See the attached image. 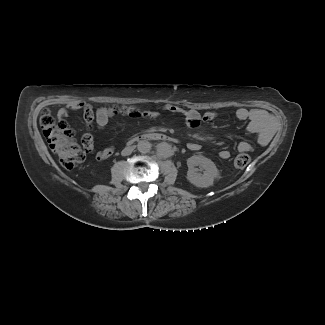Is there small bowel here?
<instances>
[{"instance_id": "obj_1", "label": "small bowel", "mask_w": 325, "mask_h": 325, "mask_svg": "<svg viewBox=\"0 0 325 325\" xmlns=\"http://www.w3.org/2000/svg\"><path fill=\"white\" fill-rule=\"evenodd\" d=\"M164 109L174 114H181L184 116L183 125L189 129H196L203 124L210 123L218 118V114L214 111H209L201 114L194 109H185L175 104H166ZM83 110L84 119L87 127V132L82 137V144L84 148L94 153L97 160H105L111 157L115 151L113 146H107L103 149L96 151L94 146V139L91 134V129L95 123L98 129H104L108 124L109 119L112 117L113 112L107 110L105 107L99 108L95 114L90 104L85 102H75L61 108L56 114V124L58 128L67 134L70 139L76 136V132L65 122V117L70 111ZM236 117L239 120H248V130L252 133H257L259 136V143L265 144L272 133V122L269 115L261 109H247L239 108L236 110ZM149 118H156V112L148 111L146 113ZM188 148L192 151H197L201 148L197 142H190ZM239 152H250L253 147L249 142H240L237 147ZM219 156L222 159H229L231 152L227 149L221 150Z\"/></svg>"}]
</instances>
